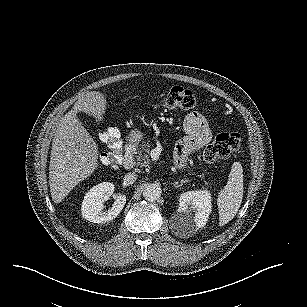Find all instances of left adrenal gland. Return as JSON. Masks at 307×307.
<instances>
[{
  "instance_id": "obj_1",
  "label": "left adrenal gland",
  "mask_w": 307,
  "mask_h": 307,
  "mask_svg": "<svg viewBox=\"0 0 307 307\" xmlns=\"http://www.w3.org/2000/svg\"><path fill=\"white\" fill-rule=\"evenodd\" d=\"M188 181H189V179H182L181 182H180V184H177V183H176V187L178 188V187L182 186V184H183L184 182H188Z\"/></svg>"
}]
</instances>
